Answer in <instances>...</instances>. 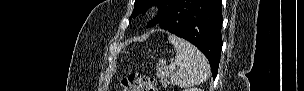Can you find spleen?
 I'll return each mask as SVG.
<instances>
[{
    "mask_svg": "<svg viewBox=\"0 0 304 91\" xmlns=\"http://www.w3.org/2000/svg\"><path fill=\"white\" fill-rule=\"evenodd\" d=\"M169 41L176 50L177 71L171 78L172 83L186 88L205 82L210 74V66L202 52L177 36L170 35Z\"/></svg>",
    "mask_w": 304,
    "mask_h": 91,
    "instance_id": "obj_1",
    "label": "spleen"
}]
</instances>
